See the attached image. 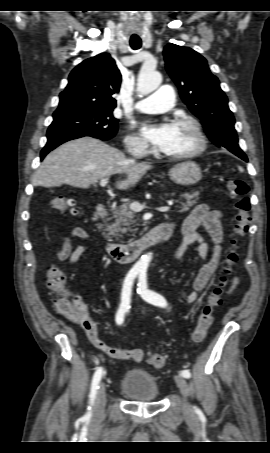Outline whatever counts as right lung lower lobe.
<instances>
[{
  "label": "right lung lower lobe",
  "mask_w": 270,
  "mask_h": 453,
  "mask_svg": "<svg viewBox=\"0 0 270 453\" xmlns=\"http://www.w3.org/2000/svg\"><path fill=\"white\" fill-rule=\"evenodd\" d=\"M83 137V135H77V136H63V135H52V136H47L48 141L45 147L41 151V160L54 148L59 146L60 144L72 140V139H77ZM96 138V137H94ZM100 139V138H99Z\"/></svg>",
  "instance_id": "obj_1"
}]
</instances>
